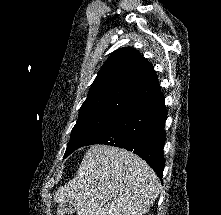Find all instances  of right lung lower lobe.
Instances as JSON below:
<instances>
[{"label":"right lung lower lobe","instance_id":"obj_1","mask_svg":"<svg viewBox=\"0 0 221 215\" xmlns=\"http://www.w3.org/2000/svg\"><path fill=\"white\" fill-rule=\"evenodd\" d=\"M166 117L164 96L160 92L153 99L120 117L86 145L106 144L132 151L162 178L165 165L163 147Z\"/></svg>","mask_w":221,"mask_h":215}]
</instances>
